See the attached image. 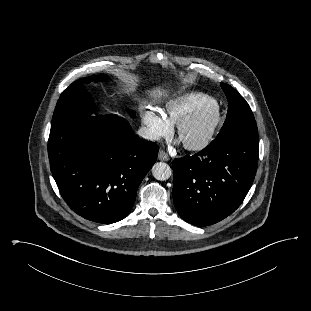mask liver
<instances>
[{"mask_svg": "<svg viewBox=\"0 0 311 311\" xmlns=\"http://www.w3.org/2000/svg\"><path fill=\"white\" fill-rule=\"evenodd\" d=\"M148 92L150 93L149 96L154 98L155 100L167 94V91H165L163 88L160 87L148 90Z\"/></svg>", "mask_w": 311, "mask_h": 311, "instance_id": "obj_1", "label": "liver"}]
</instances>
